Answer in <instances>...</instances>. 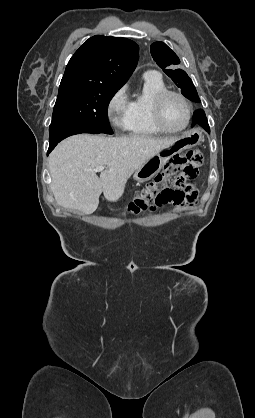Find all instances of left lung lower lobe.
Listing matches in <instances>:
<instances>
[{
    "label": "left lung lower lobe",
    "instance_id": "left-lung-lower-lobe-1",
    "mask_svg": "<svg viewBox=\"0 0 255 418\" xmlns=\"http://www.w3.org/2000/svg\"><path fill=\"white\" fill-rule=\"evenodd\" d=\"M195 125H200L203 127L208 133H210V128L208 125V121L205 115V112L202 109H198L193 114L192 119V127Z\"/></svg>",
    "mask_w": 255,
    "mask_h": 418
}]
</instances>
